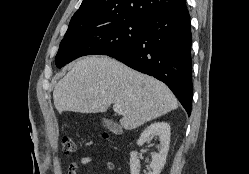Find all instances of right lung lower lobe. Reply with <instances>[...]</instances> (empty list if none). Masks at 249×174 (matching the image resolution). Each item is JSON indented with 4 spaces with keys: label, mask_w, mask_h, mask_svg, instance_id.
Listing matches in <instances>:
<instances>
[{
    "label": "right lung lower lobe",
    "mask_w": 249,
    "mask_h": 174,
    "mask_svg": "<svg viewBox=\"0 0 249 174\" xmlns=\"http://www.w3.org/2000/svg\"><path fill=\"white\" fill-rule=\"evenodd\" d=\"M191 28L187 8L145 21L141 37L120 53H108L127 66L164 82L191 114Z\"/></svg>",
    "instance_id": "98d812e1"
}]
</instances>
